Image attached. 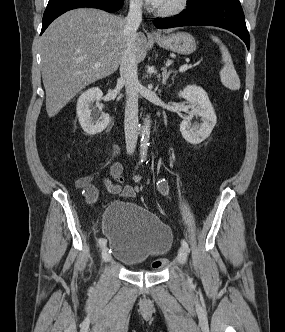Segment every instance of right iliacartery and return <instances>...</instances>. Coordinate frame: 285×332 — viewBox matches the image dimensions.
I'll list each match as a JSON object with an SVG mask.
<instances>
[{
  "instance_id": "82829eb1",
  "label": "right iliac artery",
  "mask_w": 285,
  "mask_h": 332,
  "mask_svg": "<svg viewBox=\"0 0 285 332\" xmlns=\"http://www.w3.org/2000/svg\"><path fill=\"white\" fill-rule=\"evenodd\" d=\"M98 243H99V246L102 248V247L105 246L106 241H105L103 238H100V239L98 240Z\"/></svg>"
}]
</instances>
